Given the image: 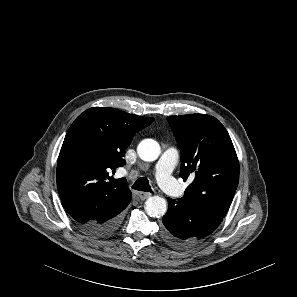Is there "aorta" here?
<instances>
[{
  "label": "aorta",
  "instance_id": "obj_1",
  "mask_svg": "<svg viewBox=\"0 0 297 297\" xmlns=\"http://www.w3.org/2000/svg\"><path fill=\"white\" fill-rule=\"evenodd\" d=\"M139 157L147 162L155 161L160 153L159 145L152 139L141 141L137 147ZM145 211L150 217H161L167 211L166 200L159 196L149 197L145 203Z\"/></svg>",
  "mask_w": 297,
  "mask_h": 297
}]
</instances>
